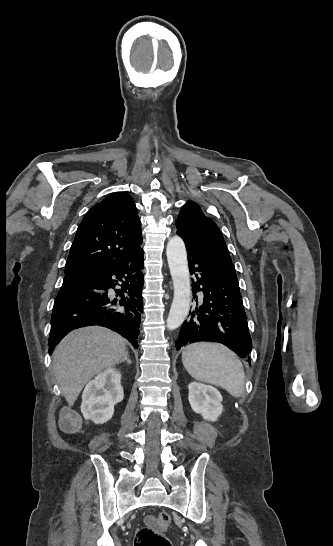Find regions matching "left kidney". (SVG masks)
<instances>
[{
	"label": "left kidney",
	"mask_w": 333,
	"mask_h": 546,
	"mask_svg": "<svg viewBox=\"0 0 333 546\" xmlns=\"http://www.w3.org/2000/svg\"><path fill=\"white\" fill-rule=\"evenodd\" d=\"M188 389L192 410L201 414L205 420L216 421L223 411L220 392L212 386L197 382H191Z\"/></svg>",
	"instance_id": "left-kidney-1"
}]
</instances>
